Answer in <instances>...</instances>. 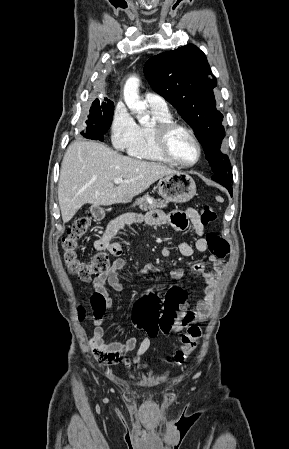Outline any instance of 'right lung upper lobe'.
<instances>
[{
    "mask_svg": "<svg viewBox=\"0 0 289 449\" xmlns=\"http://www.w3.org/2000/svg\"><path fill=\"white\" fill-rule=\"evenodd\" d=\"M104 100H105V101H110V100H108L107 98H104Z\"/></svg>",
    "mask_w": 289,
    "mask_h": 449,
    "instance_id": "cb5924a9",
    "label": "right lung upper lobe"
}]
</instances>
